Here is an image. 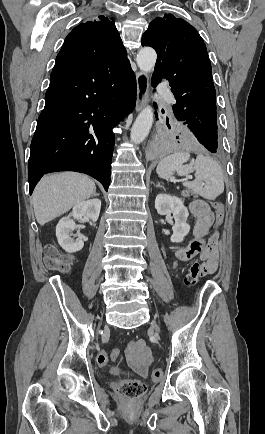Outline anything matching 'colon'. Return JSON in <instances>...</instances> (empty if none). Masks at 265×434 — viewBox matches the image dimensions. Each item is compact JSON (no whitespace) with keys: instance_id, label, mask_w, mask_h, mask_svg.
Wrapping results in <instances>:
<instances>
[{"instance_id":"1","label":"colon","mask_w":265,"mask_h":434,"mask_svg":"<svg viewBox=\"0 0 265 434\" xmlns=\"http://www.w3.org/2000/svg\"><path fill=\"white\" fill-rule=\"evenodd\" d=\"M213 207L215 209L214 220L216 222V226H219L225 215L223 204L220 201H216L213 203ZM45 267L49 270H55L57 272H64L69 267V258L66 255H63L59 252V250L55 246H48L45 250ZM200 262L196 260L191 263L189 270L190 275H186L184 278V283L187 287H193L197 280V270L200 269ZM97 363L99 366L104 367L108 363V356L104 351H101L97 355ZM163 376V372L161 369H153L150 373V378L154 381H159ZM117 391L121 394L128 396V401H133V397L142 395L147 388L146 382H141L137 380H122L116 386Z\"/></svg>"}]
</instances>
